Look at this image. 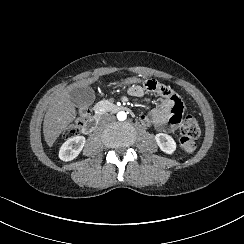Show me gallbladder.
I'll use <instances>...</instances> for the list:
<instances>
[{"instance_id": "1", "label": "gallbladder", "mask_w": 244, "mask_h": 244, "mask_svg": "<svg viewBox=\"0 0 244 244\" xmlns=\"http://www.w3.org/2000/svg\"><path fill=\"white\" fill-rule=\"evenodd\" d=\"M70 99L76 107L89 106L95 99L92 88L74 87L70 92Z\"/></svg>"}]
</instances>
